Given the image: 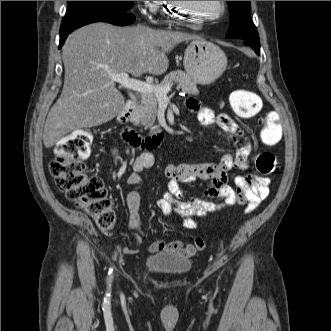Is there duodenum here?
Returning <instances> with one entry per match:
<instances>
[{
  "label": "duodenum",
  "instance_id": "410a0bca",
  "mask_svg": "<svg viewBox=\"0 0 331 331\" xmlns=\"http://www.w3.org/2000/svg\"><path fill=\"white\" fill-rule=\"evenodd\" d=\"M136 105L137 100L135 98L129 99L119 114L118 120L123 125L120 130V136L122 140L134 150L156 148L164 139L165 133L163 131H159L148 137H143L133 127L128 125Z\"/></svg>",
  "mask_w": 331,
  "mask_h": 331
}]
</instances>
